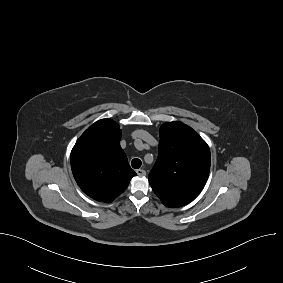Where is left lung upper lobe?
<instances>
[{"label": "left lung upper lobe", "instance_id": "obj_1", "mask_svg": "<svg viewBox=\"0 0 283 283\" xmlns=\"http://www.w3.org/2000/svg\"><path fill=\"white\" fill-rule=\"evenodd\" d=\"M210 162V149L196 131L181 122H167L160 128L159 155L149 183L165 206L186 205L202 190Z\"/></svg>", "mask_w": 283, "mask_h": 283}]
</instances>
